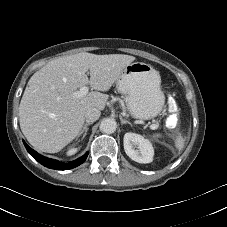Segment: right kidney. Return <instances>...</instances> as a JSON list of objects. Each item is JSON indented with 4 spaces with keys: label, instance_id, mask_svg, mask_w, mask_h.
I'll return each instance as SVG.
<instances>
[{
    "label": "right kidney",
    "instance_id": "ca27d5eb",
    "mask_svg": "<svg viewBox=\"0 0 227 227\" xmlns=\"http://www.w3.org/2000/svg\"><path fill=\"white\" fill-rule=\"evenodd\" d=\"M77 151H78V148L70 147V148L68 149L67 155H73V154H75Z\"/></svg>",
    "mask_w": 227,
    "mask_h": 227
}]
</instances>
